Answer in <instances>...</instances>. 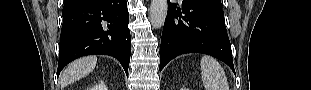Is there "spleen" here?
Segmentation results:
<instances>
[{
    "mask_svg": "<svg viewBox=\"0 0 311 90\" xmlns=\"http://www.w3.org/2000/svg\"><path fill=\"white\" fill-rule=\"evenodd\" d=\"M200 66L206 90H229L225 71L216 59L203 56Z\"/></svg>",
    "mask_w": 311,
    "mask_h": 90,
    "instance_id": "3e777b00",
    "label": "spleen"
}]
</instances>
